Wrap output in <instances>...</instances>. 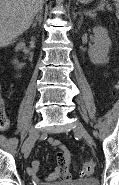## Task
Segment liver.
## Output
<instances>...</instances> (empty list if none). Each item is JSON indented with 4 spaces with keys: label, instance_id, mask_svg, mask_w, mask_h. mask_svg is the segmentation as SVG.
<instances>
[{
    "label": "liver",
    "instance_id": "6515ba94",
    "mask_svg": "<svg viewBox=\"0 0 119 185\" xmlns=\"http://www.w3.org/2000/svg\"><path fill=\"white\" fill-rule=\"evenodd\" d=\"M44 0H0V47L29 29Z\"/></svg>",
    "mask_w": 119,
    "mask_h": 185
}]
</instances>
